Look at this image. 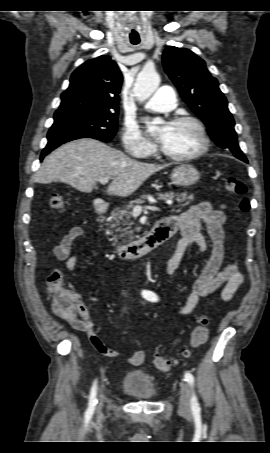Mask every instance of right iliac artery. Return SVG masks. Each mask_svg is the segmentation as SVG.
<instances>
[{
  "label": "right iliac artery",
  "mask_w": 270,
  "mask_h": 453,
  "mask_svg": "<svg viewBox=\"0 0 270 453\" xmlns=\"http://www.w3.org/2000/svg\"><path fill=\"white\" fill-rule=\"evenodd\" d=\"M97 404V399H96V382H94L93 387L91 389L90 393V400H89V407L86 412L87 416H91L93 414V411L95 409V405Z\"/></svg>",
  "instance_id": "obj_1"
}]
</instances>
